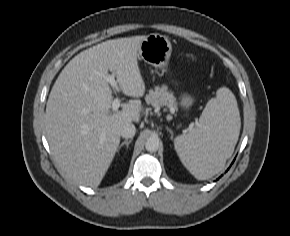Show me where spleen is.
I'll return each instance as SVG.
<instances>
[{"mask_svg": "<svg viewBox=\"0 0 290 236\" xmlns=\"http://www.w3.org/2000/svg\"><path fill=\"white\" fill-rule=\"evenodd\" d=\"M240 127L236 98L222 87L206 104L197 126L175 138L176 152L196 179L212 178L224 169L233 154Z\"/></svg>", "mask_w": 290, "mask_h": 236, "instance_id": "3e777b00", "label": "spleen"}]
</instances>
